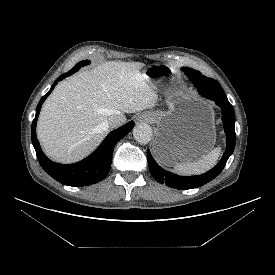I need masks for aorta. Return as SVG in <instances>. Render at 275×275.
Wrapping results in <instances>:
<instances>
[{"instance_id": "1", "label": "aorta", "mask_w": 275, "mask_h": 275, "mask_svg": "<svg viewBox=\"0 0 275 275\" xmlns=\"http://www.w3.org/2000/svg\"><path fill=\"white\" fill-rule=\"evenodd\" d=\"M135 140L141 144H147L152 138V128L146 123H139L133 129Z\"/></svg>"}]
</instances>
